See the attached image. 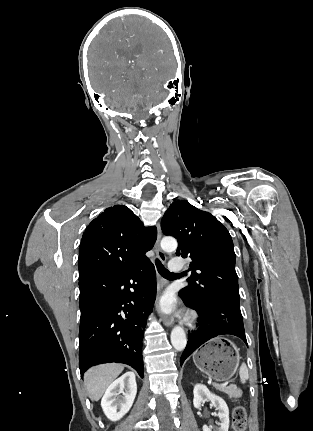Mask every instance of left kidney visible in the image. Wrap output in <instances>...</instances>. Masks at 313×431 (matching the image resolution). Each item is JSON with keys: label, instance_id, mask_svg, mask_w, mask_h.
Returning <instances> with one entry per match:
<instances>
[{"label": "left kidney", "instance_id": "5707ae66", "mask_svg": "<svg viewBox=\"0 0 313 431\" xmlns=\"http://www.w3.org/2000/svg\"><path fill=\"white\" fill-rule=\"evenodd\" d=\"M193 394V405L195 408H200L207 400L212 402L214 407L218 410V417L221 421L219 431H228L229 409L226 402L221 397L212 394L208 388L202 384H197L194 387ZM203 431H211V429L204 425Z\"/></svg>", "mask_w": 313, "mask_h": 431}]
</instances>
